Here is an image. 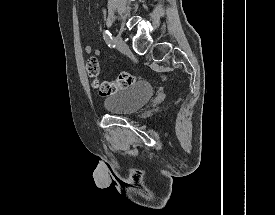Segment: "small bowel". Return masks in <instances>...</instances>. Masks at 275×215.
Here are the masks:
<instances>
[{
  "label": "small bowel",
  "mask_w": 275,
  "mask_h": 215,
  "mask_svg": "<svg viewBox=\"0 0 275 215\" xmlns=\"http://www.w3.org/2000/svg\"><path fill=\"white\" fill-rule=\"evenodd\" d=\"M83 51L87 54H90L92 52L95 53V55H99L100 54V51L97 49V48H94L92 45L90 44H85L83 46Z\"/></svg>",
  "instance_id": "small-bowel-1"
}]
</instances>
